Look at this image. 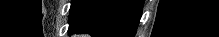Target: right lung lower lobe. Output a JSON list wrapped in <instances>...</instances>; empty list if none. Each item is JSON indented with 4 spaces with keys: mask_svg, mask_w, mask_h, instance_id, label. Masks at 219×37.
Masks as SVG:
<instances>
[{
    "mask_svg": "<svg viewBox=\"0 0 219 37\" xmlns=\"http://www.w3.org/2000/svg\"><path fill=\"white\" fill-rule=\"evenodd\" d=\"M143 0H77L71 5L69 32L92 37H134Z\"/></svg>",
    "mask_w": 219,
    "mask_h": 37,
    "instance_id": "98d812e1",
    "label": "right lung lower lobe"
}]
</instances>
